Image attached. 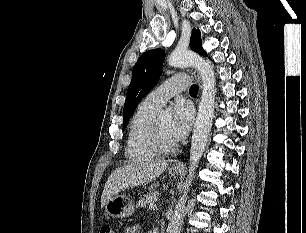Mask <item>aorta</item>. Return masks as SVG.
Instances as JSON below:
<instances>
[{
    "mask_svg": "<svg viewBox=\"0 0 306 233\" xmlns=\"http://www.w3.org/2000/svg\"><path fill=\"white\" fill-rule=\"evenodd\" d=\"M168 64L173 67H195L199 71L202 79V95L193 129L190 149L189 175L185 182V192L178 200L175 206L174 215L167 228V233H180L185 212L187 190L191 185L194 171L198 167L201 156L205 150L212 127L216 84L213 66L192 51H173L168 57Z\"/></svg>",
    "mask_w": 306,
    "mask_h": 233,
    "instance_id": "762f6f07",
    "label": "aorta"
}]
</instances>
